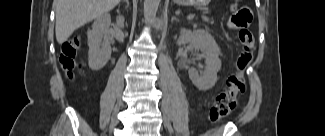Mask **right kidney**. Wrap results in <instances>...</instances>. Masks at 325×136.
I'll use <instances>...</instances> for the list:
<instances>
[{
    "instance_id": "right-kidney-1",
    "label": "right kidney",
    "mask_w": 325,
    "mask_h": 136,
    "mask_svg": "<svg viewBox=\"0 0 325 136\" xmlns=\"http://www.w3.org/2000/svg\"><path fill=\"white\" fill-rule=\"evenodd\" d=\"M111 17L108 13L99 16L92 25V30L88 32V64L92 70L102 69L111 58V42L109 27ZM118 28L124 27V17L118 16L116 19Z\"/></svg>"
}]
</instances>
